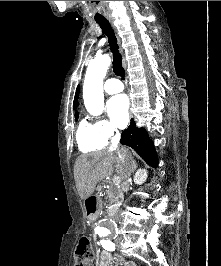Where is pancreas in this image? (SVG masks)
I'll return each instance as SVG.
<instances>
[{
	"label": "pancreas",
	"mask_w": 221,
	"mask_h": 266,
	"mask_svg": "<svg viewBox=\"0 0 221 266\" xmlns=\"http://www.w3.org/2000/svg\"><path fill=\"white\" fill-rule=\"evenodd\" d=\"M106 195L109 198L110 211H114L118 208V205L120 203L119 199L122 198V194L117 188L109 187L106 190Z\"/></svg>",
	"instance_id": "pancreas-1"
}]
</instances>
